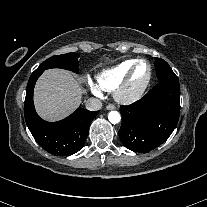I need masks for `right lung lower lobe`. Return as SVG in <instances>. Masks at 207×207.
I'll return each mask as SVG.
<instances>
[{
	"instance_id": "obj_1",
	"label": "right lung lower lobe",
	"mask_w": 207,
	"mask_h": 207,
	"mask_svg": "<svg viewBox=\"0 0 207 207\" xmlns=\"http://www.w3.org/2000/svg\"><path fill=\"white\" fill-rule=\"evenodd\" d=\"M41 74V71L33 72L27 85L24 109L26 124L34 139L48 152L58 156L74 154L83 147L90 123L99 111L77 109L59 122L44 121L37 115L33 104L34 86Z\"/></svg>"
}]
</instances>
